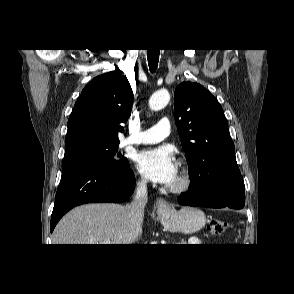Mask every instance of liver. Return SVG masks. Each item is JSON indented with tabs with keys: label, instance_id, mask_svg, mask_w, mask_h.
Listing matches in <instances>:
<instances>
[{
	"label": "liver",
	"instance_id": "obj_1",
	"mask_svg": "<svg viewBox=\"0 0 294 294\" xmlns=\"http://www.w3.org/2000/svg\"><path fill=\"white\" fill-rule=\"evenodd\" d=\"M141 232L133 233L127 206L119 204H86L72 209L56 225L53 244H131Z\"/></svg>",
	"mask_w": 294,
	"mask_h": 294
}]
</instances>
